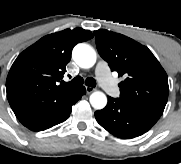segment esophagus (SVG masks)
Masks as SVG:
<instances>
[{
  "label": "esophagus",
  "instance_id": "34e87169",
  "mask_svg": "<svg viewBox=\"0 0 181 164\" xmlns=\"http://www.w3.org/2000/svg\"><path fill=\"white\" fill-rule=\"evenodd\" d=\"M94 91V88L90 87V86H86V93L90 94Z\"/></svg>",
  "mask_w": 181,
  "mask_h": 164
}]
</instances>
